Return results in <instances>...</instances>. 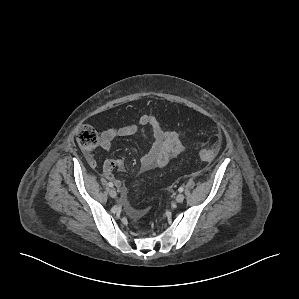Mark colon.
<instances>
[{"label":"colon","mask_w":299,"mask_h":299,"mask_svg":"<svg viewBox=\"0 0 299 299\" xmlns=\"http://www.w3.org/2000/svg\"><path fill=\"white\" fill-rule=\"evenodd\" d=\"M76 139L81 148L86 151L93 150L99 142L98 134L96 131L88 125L81 126L76 134ZM219 151V147L216 144L201 148L199 150V156L201 159L210 161L213 160Z\"/></svg>","instance_id":"1"}]
</instances>
